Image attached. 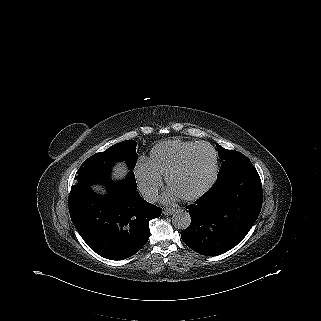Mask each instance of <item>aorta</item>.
Returning a JSON list of instances; mask_svg holds the SVG:
<instances>
[{
	"instance_id": "1",
	"label": "aorta",
	"mask_w": 321,
	"mask_h": 321,
	"mask_svg": "<svg viewBox=\"0 0 321 321\" xmlns=\"http://www.w3.org/2000/svg\"><path fill=\"white\" fill-rule=\"evenodd\" d=\"M191 217L187 211L177 210L172 216V224L178 230H185L190 226Z\"/></svg>"
}]
</instances>
